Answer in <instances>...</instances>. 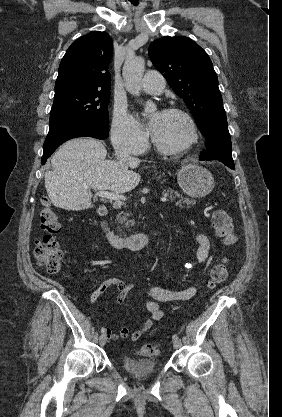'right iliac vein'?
<instances>
[{"label":"right iliac vein","instance_id":"obj_1","mask_svg":"<svg viewBox=\"0 0 282 417\" xmlns=\"http://www.w3.org/2000/svg\"><path fill=\"white\" fill-rule=\"evenodd\" d=\"M106 341H107V336H106V334H101V335H100V337H99V342H100V344H101V345H105Z\"/></svg>","mask_w":282,"mask_h":417}]
</instances>
